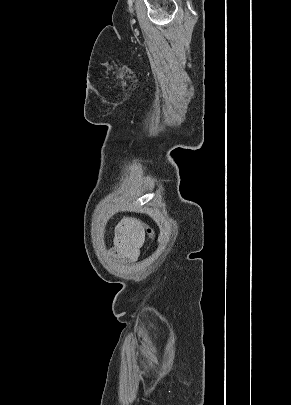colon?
I'll use <instances>...</instances> for the list:
<instances>
[{
  "mask_svg": "<svg viewBox=\"0 0 291 405\" xmlns=\"http://www.w3.org/2000/svg\"><path fill=\"white\" fill-rule=\"evenodd\" d=\"M147 233H148L149 235H151V234H152V230H151L150 228H147Z\"/></svg>",
  "mask_w": 291,
  "mask_h": 405,
  "instance_id": "obj_1",
  "label": "colon"
}]
</instances>
